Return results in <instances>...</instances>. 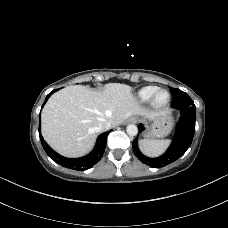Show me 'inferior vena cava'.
Instances as JSON below:
<instances>
[{
  "instance_id": "1",
  "label": "inferior vena cava",
  "mask_w": 228,
  "mask_h": 228,
  "mask_svg": "<svg viewBox=\"0 0 228 228\" xmlns=\"http://www.w3.org/2000/svg\"><path fill=\"white\" fill-rule=\"evenodd\" d=\"M112 127V124L110 122H102L98 125V131H106L109 130Z\"/></svg>"
}]
</instances>
